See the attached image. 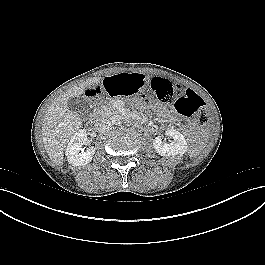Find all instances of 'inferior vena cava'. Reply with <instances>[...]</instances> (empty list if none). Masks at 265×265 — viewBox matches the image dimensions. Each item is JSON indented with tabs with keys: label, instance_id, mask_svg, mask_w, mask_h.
<instances>
[{
	"label": "inferior vena cava",
	"instance_id": "obj_1",
	"mask_svg": "<svg viewBox=\"0 0 265 265\" xmlns=\"http://www.w3.org/2000/svg\"><path fill=\"white\" fill-rule=\"evenodd\" d=\"M112 129V123L109 119L103 118L97 123V131L99 133L105 134Z\"/></svg>",
	"mask_w": 265,
	"mask_h": 265
}]
</instances>
